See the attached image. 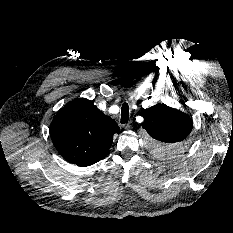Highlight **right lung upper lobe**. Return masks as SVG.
Listing matches in <instances>:
<instances>
[{
    "mask_svg": "<svg viewBox=\"0 0 233 233\" xmlns=\"http://www.w3.org/2000/svg\"><path fill=\"white\" fill-rule=\"evenodd\" d=\"M116 133H120L118 124L82 98L66 104L50 125V136L59 154L81 167L103 159Z\"/></svg>",
    "mask_w": 233,
    "mask_h": 233,
    "instance_id": "right-lung-upper-lobe-1",
    "label": "right lung upper lobe"
}]
</instances>
